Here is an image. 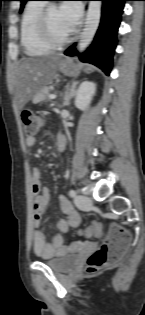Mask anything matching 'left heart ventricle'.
<instances>
[{
	"label": "left heart ventricle",
	"instance_id": "left-heart-ventricle-1",
	"mask_svg": "<svg viewBox=\"0 0 145 315\" xmlns=\"http://www.w3.org/2000/svg\"><path fill=\"white\" fill-rule=\"evenodd\" d=\"M49 29L56 40H62L71 33L67 22L56 7L52 8L49 15Z\"/></svg>",
	"mask_w": 145,
	"mask_h": 315
}]
</instances>
